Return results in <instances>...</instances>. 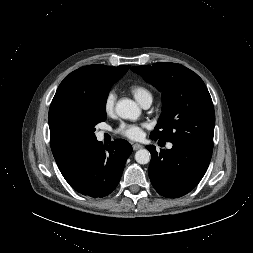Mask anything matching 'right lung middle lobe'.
<instances>
[{"label":"right lung middle lobe","instance_id":"dd1d6c3e","mask_svg":"<svg viewBox=\"0 0 253 253\" xmlns=\"http://www.w3.org/2000/svg\"><path fill=\"white\" fill-rule=\"evenodd\" d=\"M111 86H104L95 100L70 105L65 110L62 118L64 127L79 144L96 139L94 127L106 120V101Z\"/></svg>","mask_w":253,"mask_h":253}]
</instances>
